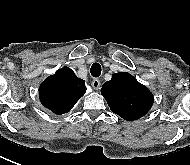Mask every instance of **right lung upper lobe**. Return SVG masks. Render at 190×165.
<instances>
[{
	"instance_id": "right-lung-upper-lobe-1",
	"label": "right lung upper lobe",
	"mask_w": 190,
	"mask_h": 165,
	"mask_svg": "<svg viewBox=\"0 0 190 165\" xmlns=\"http://www.w3.org/2000/svg\"><path fill=\"white\" fill-rule=\"evenodd\" d=\"M85 92V81L63 67L40 85L39 98L46 108L60 115L69 112Z\"/></svg>"
}]
</instances>
